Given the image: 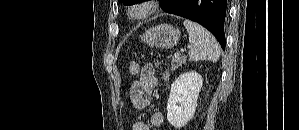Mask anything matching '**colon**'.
Wrapping results in <instances>:
<instances>
[{
    "label": "colon",
    "mask_w": 299,
    "mask_h": 130,
    "mask_svg": "<svg viewBox=\"0 0 299 130\" xmlns=\"http://www.w3.org/2000/svg\"><path fill=\"white\" fill-rule=\"evenodd\" d=\"M129 72L131 75L136 76L140 72V65L137 61H132L129 65Z\"/></svg>",
    "instance_id": "colon-1"
}]
</instances>
